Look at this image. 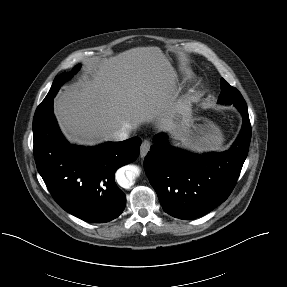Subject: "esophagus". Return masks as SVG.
<instances>
[{
  "instance_id": "esophagus-1",
  "label": "esophagus",
  "mask_w": 287,
  "mask_h": 287,
  "mask_svg": "<svg viewBox=\"0 0 287 287\" xmlns=\"http://www.w3.org/2000/svg\"><path fill=\"white\" fill-rule=\"evenodd\" d=\"M151 142L148 139H145L140 147V155L141 157H145L150 149Z\"/></svg>"
}]
</instances>
